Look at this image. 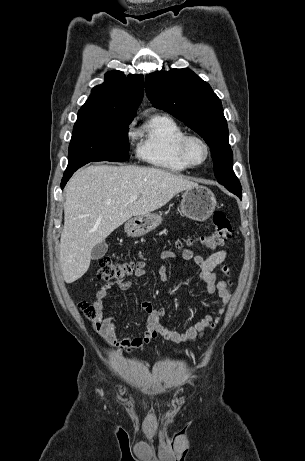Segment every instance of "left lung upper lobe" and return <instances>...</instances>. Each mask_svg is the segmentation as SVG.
Wrapping results in <instances>:
<instances>
[{
  "label": "left lung upper lobe",
  "instance_id": "5c2ea615",
  "mask_svg": "<svg viewBox=\"0 0 305 461\" xmlns=\"http://www.w3.org/2000/svg\"><path fill=\"white\" fill-rule=\"evenodd\" d=\"M145 89L154 107L169 112L198 133L211 150L217 181L238 197L242 189L233 172V153L220 99L189 69L146 75Z\"/></svg>",
  "mask_w": 305,
  "mask_h": 461
}]
</instances>
